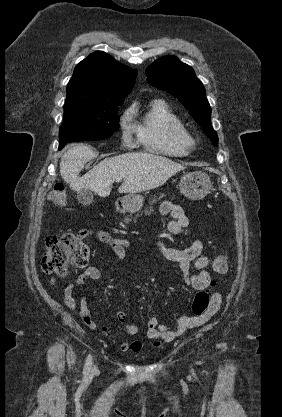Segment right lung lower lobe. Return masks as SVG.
I'll use <instances>...</instances> for the list:
<instances>
[{
	"mask_svg": "<svg viewBox=\"0 0 282 417\" xmlns=\"http://www.w3.org/2000/svg\"><path fill=\"white\" fill-rule=\"evenodd\" d=\"M62 148H63V146H60V145H59V150H60V149H62Z\"/></svg>",
	"mask_w": 282,
	"mask_h": 417,
	"instance_id": "right-lung-lower-lobe-1",
	"label": "right lung lower lobe"
}]
</instances>
